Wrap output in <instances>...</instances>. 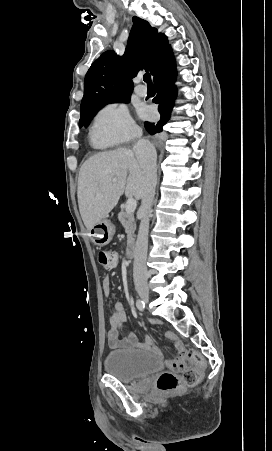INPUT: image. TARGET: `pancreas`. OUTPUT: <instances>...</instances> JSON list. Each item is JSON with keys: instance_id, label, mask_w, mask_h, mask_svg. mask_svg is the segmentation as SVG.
Returning a JSON list of instances; mask_svg holds the SVG:
<instances>
[{"instance_id": "cf45deb5", "label": "pancreas", "mask_w": 272, "mask_h": 451, "mask_svg": "<svg viewBox=\"0 0 272 451\" xmlns=\"http://www.w3.org/2000/svg\"><path fill=\"white\" fill-rule=\"evenodd\" d=\"M118 220L121 222L122 226L125 227L127 233V247H130L135 241L134 233L136 224L134 216L133 214H124V212H120V214H118Z\"/></svg>"}]
</instances>
